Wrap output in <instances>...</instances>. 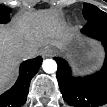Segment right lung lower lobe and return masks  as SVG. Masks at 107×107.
<instances>
[{
	"label": "right lung lower lobe",
	"instance_id": "obj_1",
	"mask_svg": "<svg viewBox=\"0 0 107 107\" xmlns=\"http://www.w3.org/2000/svg\"><path fill=\"white\" fill-rule=\"evenodd\" d=\"M42 57L24 61L20 66V73L15 85L0 96V107H19L27 100L30 81L38 72Z\"/></svg>",
	"mask_w": 107,
	"mask_h": 107
}]
</instances>
